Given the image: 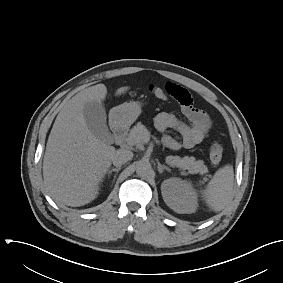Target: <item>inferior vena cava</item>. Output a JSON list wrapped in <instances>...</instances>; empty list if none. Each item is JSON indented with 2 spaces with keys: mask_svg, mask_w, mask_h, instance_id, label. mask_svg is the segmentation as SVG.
I'll list each match as a JSON object with an SVG mask.
<instances>
[{
  "mask_svg": "<svg viewBox=\"0 0 283 283\" xmlns=\"http://www.w3.org/2000/svg\"><path fill=\"white\" fill-rule=\"evenodd\" d=\"M133 158V153L126 149H118L112 156V163L116 167H121L127 161Z\"/></svg>",
  "mask_w": 283,
  "mask_h": 283,
  "instance_id": "obj_1",
  "label": "inferior vena cava"
}]
</instances>
